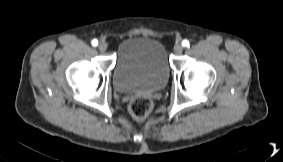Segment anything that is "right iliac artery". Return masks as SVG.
Masks as SVG:
<instances>
[{"label": "right iliac artery", "mask_w": 283, "mask_h": 162, "mask_svg": "<svg viewBox=\"0 0 283 162\" xmlns=\"http://www.w3.org/2000/svg\"><path fill=\"white\" fill-rule=\"evenodd\" d=\"M91 44H92L93 46H97V45H98V41H97L96 39H94V40H92Z\"/></svg>", "instance_id": "1"}]
</instances>
